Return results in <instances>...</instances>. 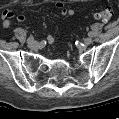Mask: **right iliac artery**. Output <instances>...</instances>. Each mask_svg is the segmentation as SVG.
Returning a JSON list of instances; mask_svg holds the SVG:
<instances>
[{
  "label": "right iliac artery",
  "mask_w": 119,
  "mask_h": 119,
  "mask_svg": "<svg viewBox=\"0 0 119 119\" xmlns=\"http://www.w3.org/2000/svg\"><path fill=\"white\" fill-rule=\"evenodd\" d=\"M32 40H34V37L31 35V36H29V38L27 39V42L32 41Z\"/></svg>",
  "instance_id": "82829eb1"
}]
</instances>
